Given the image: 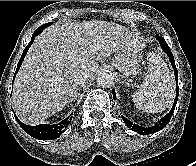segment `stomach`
I'll return each mask as SVG.
<instances>
[{
	"label": "stomach",
	"instance_id": "0dacf381",
	"mask_svg": "<svg viewBox=\"0 0 196 166\" xmlns=\"http://www.w3.org/2000/svg\"><path fill=\"white\" fill-rule=\"evenodd\" d=\"M141 54L134 48L120 50L113 59V65L124 77H133L140 73Z\"/></svg>",
	"mask_w": 196,
	"mask_h": 166
}]
</instances>
